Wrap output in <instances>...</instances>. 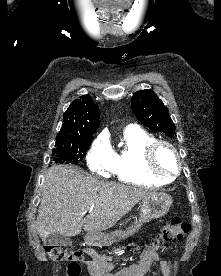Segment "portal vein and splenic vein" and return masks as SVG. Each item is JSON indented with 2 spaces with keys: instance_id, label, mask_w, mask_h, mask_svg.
I'll list each match as a JSON object with an SVG mask.
<instances>
[{
  "instance_id": "1",
  "label": "portal vein and splenic vein",
  "mask_w": 221,
  "mask_h": 276,
  "mask_svg": "<svg viewBox=\"0 0 221 276\" xmlns=\"http://www.w3.org/2000/svg\"><path fill=\"white\" fill-rule=\"evenodd\" d=\"M90 210H91V209H89V210H87V209H86V210L84 211V213H86L87 211H89V212H90Z\"/></svg>"
}]
</instances>
